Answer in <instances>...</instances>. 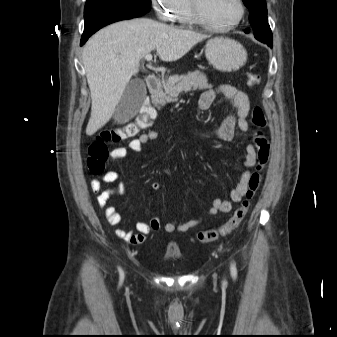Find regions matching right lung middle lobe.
<instances>
[{"mask_svg": "<svg viewBox=\"0 0 337 337\" xmlns=\"http://www.w3.org/2000/svg\"><path fill=\"white\" fill-rule=\"evenodd\" d=\"M110 7H123L149 12L151 0H87L84 8V18L91 13Z\"/></svg>", "mask_w": 337, "mask_h": 337, "instance_id": "dd1d6c3e", "label": "right lung middle lobe"}]
</instances>
